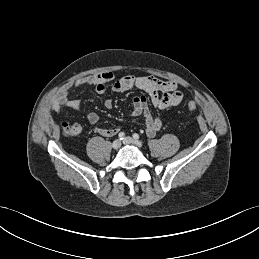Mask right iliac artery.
I'll list each match as a JSON object with an SVG mask.
<instances>
[{
  "instance_id": "obj_1",
  "label": "right iliac artery",
  "mask_w": 259,
  "mask_h": 259,
  "mask_svg": "<svg viewBox=\"0 0 259 259\" xmlns=\"http://www.w3.org/2000/svg\"><path fill=\"white\" fill-rule=\"evenodd\" d=\"M124 136H125V133L124 132H120L118 137L120 140H123L124 139Z\"/></svg>"
}]
</instances>
